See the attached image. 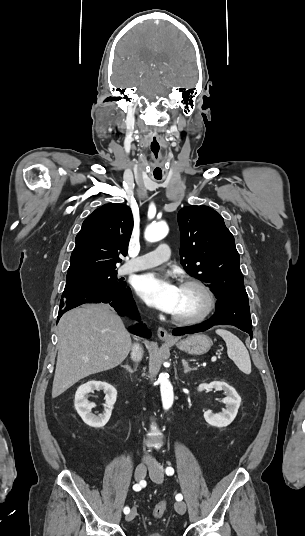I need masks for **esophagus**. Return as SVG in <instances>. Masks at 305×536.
<instances>
[{
    "mask_svg": "<svg viewBox=\"0 0 305 536\" xmlns=\"http://www.w3.org/2000/svg\"><path fill=\"white\" fill-rule=\"evenodd\" d=\"M157 333H158V337L163 341H173L174 340V338L167 333L165 328L159 327Z\"/></svg>",
    "mask_w": 305,
    "mask_h": 536,
    "instance_id": "esophagus-1",
    "label": "esophagus"
}]
</instances>
